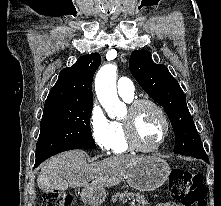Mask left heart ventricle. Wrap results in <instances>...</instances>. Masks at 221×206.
<instances>
[{
    "label": "left heart ventricle",
    "instance_id": "1",
    "mask_svg": "<svg viewBox=\"0 0 221 206\" xmlns=\"http://www.w3.org/2000/svg\"><path fill=\"white\" fill-rule=\"evenodd\" d=\"M128 116L129 112L125 118ZM134 125L138 141L145 147L155 145L163 132V122L160 115L148 105H144L135 111Z\"/></svg>",
    "mask_w": 221,
    "mask_h": 206
}]
</instances>
